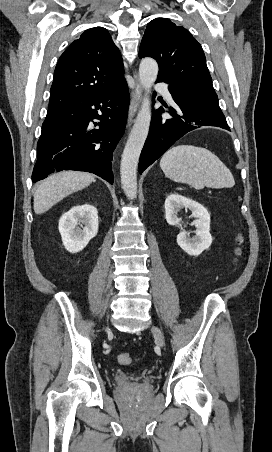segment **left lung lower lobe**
<instances>
[{"label": "left lung lower lobe", "mask_w": 272, "mask_h": 452, "mask_svg": "<svg viewBox=\"0 0 272 452\" xmlns=\"http://www.w3.org/2000/svg\"><path fill=\"white\" fill-rule=\"evenodd\" d=\"M167 84L176 106L167 109L160 107L153 112L150 131L140 156L139 173L189 131L203 126H215L230 131L217 96ZM162 112L170 113L172 118H163Z\"/></svg>", "instance_id": "1"}]
</instances>
